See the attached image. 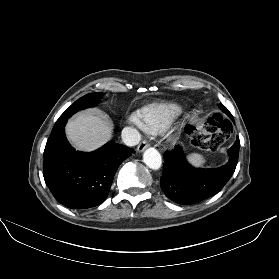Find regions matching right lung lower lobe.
<instances>
[{
	"instance_id": "1",
	"label": "right lung lower lobe",
	"mask_w": 279,
	"mask_h": 279,
	"mask_svg": "<svg viewBox=\"0 0 279 279\" xmlns=\"http://www.w3.org/2000/svg\"><path fill=\"white\" fill-rule=\"evenodd\" d=\"M68 118L55 123L44 150L43 175L55 199L72 209L101 204L119 165L135 151L110 141L100 149L75 151L65 136Z\"/></svg>"
}]
</instances>
